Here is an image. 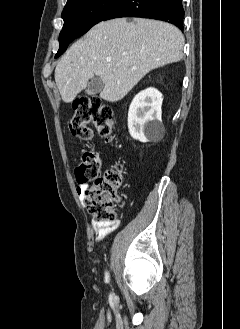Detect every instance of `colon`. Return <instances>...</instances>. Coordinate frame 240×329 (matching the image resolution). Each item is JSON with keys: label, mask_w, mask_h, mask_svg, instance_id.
<instances>
[{"label": "colon", "mask_w": 240, "mask_h": 329, "mask_svg": "<svg viewBox=\"0 0 240 329\" xmlns=\"http://www.w3.org/2000/svg\"><path fill=\"white\" fill-rule=\"evenodd\" d=\"M74 115L70 121V131L81 142L89 143L92 138L90 125L98 134L112 140L114 111L98 96L82 97L73 103ZM101 159L94 149H87L74 170L75 181L80 185H92L84 192L87 211L96 221H112L120 203L119 190L123 183L121 164H116L101 175Z\"/></svg>", "instance_id": "5ec220e1"}]
</instances>
